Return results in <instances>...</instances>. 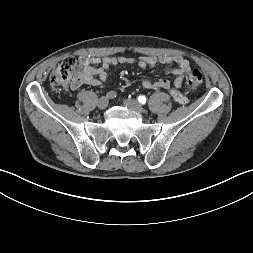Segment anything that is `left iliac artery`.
<instances>
[{
    "instance_id": "1",
    "label": "left iliac artery",
    "mask_w": 253,
    "mask_h": 253,
    "mask_svg": "<svg viewBox=\"0 0 253 253\" xmlns=\"http://www.w3.org/2000/svg\"><path fill=\"white\" fill-rule=\"evenodd\" d=\"M138 101H139L140 103H142V104L146 103V98H145V96H139V97H138Z\"/></svg>"
}]
</instances>
